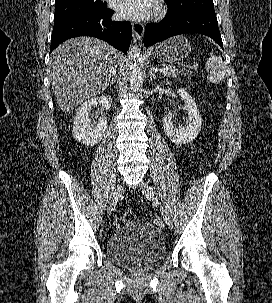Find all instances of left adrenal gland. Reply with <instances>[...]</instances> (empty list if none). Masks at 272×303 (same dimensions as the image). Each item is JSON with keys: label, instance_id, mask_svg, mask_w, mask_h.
Returning a JSON list of instances; mask_svg holds the SVG:
<instances>
[{"label": "left adrenal gland", "instance_id": "left-adrenal-gland-1", "mask_svg": "<svg viewBox=\"0 0 272 303\" xmlns=\"http://www.w3.org/2000/svg\"><path fill=\"white\" fill-rule=\"evenodd\" d=\"M151 77L153 78V79H157V78H163V76H158V75H156V72L154 71V69H151Z\"/></svg>", "mask_w": 272, "mask_h": 303}]
</instances>
